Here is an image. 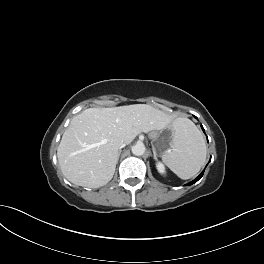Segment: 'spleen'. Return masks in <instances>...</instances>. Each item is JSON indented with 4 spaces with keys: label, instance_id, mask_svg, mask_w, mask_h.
Masks as SVG:
<instances>
[{
    "label": "spleen",
    "instance_id": "spleen-1",
    "mask_svg": "<svg viewBox=\"0 0 264 264\" xmlns=\"http://www.w3.org/2000/svg\"><path fill=\"white\" fill-rule=\"evenodd\" d=\"M172 136V148L162 155V160L178 177L190 179L200 171L206 160L203 135L188 118H177Z\"/></svg>",
    "mask_w": 264,
    "mask_h": 264
}]
</instances>
